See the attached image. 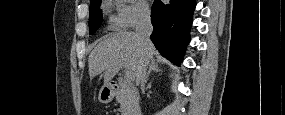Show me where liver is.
<instances>
[{"instance_id": "obj_1", "label": "liver", "mask_w": 285, "mask_h": 115, "mask_svg": "<svg viewBox=\"0 0 285 115\" xmlns=\"http://www.w3.org/2000/svg\"><path fill=\"white\" fill-rule=\"evenodd\" d=\"M155 53L153 44L144 47L134 32L113 33L92 50L88 60L90 79L103 72L104 84L107 85L124 63L137 82L139 68L145 60L154 62Z\"/></svg>"}]
</instances>
